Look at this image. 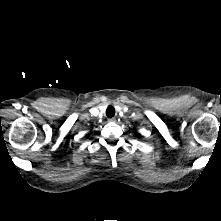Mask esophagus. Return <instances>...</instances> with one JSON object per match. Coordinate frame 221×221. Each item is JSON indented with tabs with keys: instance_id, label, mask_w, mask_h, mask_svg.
Instances as JSON below:
<instances>
[{
	"instance_id": "1",
	"label": "esophagus",
	"mask_w": 221,
	"mask_h": 221,
	"mask_svg": "<svg viewBox=\"0 0 221 221\" xmlns=\"http://www.w3.org/2000/svg\"><path fill=\"white\" fill-rule=\"evenodd\" d=\"M108 121H109V122H115L116 119H115V118H110V119H108Z\"/></svg>"
}]
</instances>
